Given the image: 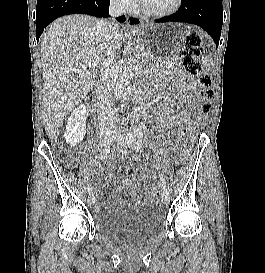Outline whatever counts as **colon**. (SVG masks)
I'll return each mask as SVG.
<instances>
[{"label":"colon","mask_w":265,"mask_h":273,"mask_svg":"<svg viewBox=\"0 0 265 273\" xmlns=\"http://www.w3.org/2000/svg\"><path fill=\"white\" fill-rule=\"evenodd\" d=\"M201 52V35L196 31L189 32L186 35L184 47L180 52V60L182 66L188 73L198 77V82L201 87V109L203 112L208 113L211 109V105L209 103V100L212 97V92L210 90L211 77L204 72L203 65L200 61ZM67 163L70 166H74L76 164V156L74 154L70 155L67 159ZM127 173L130 176H134L136 174V169L130 167L127 169ZM143 194L145 197H149L151 194L150 188H144Z\"/></svg>","instance_id":"5ec220e1"}]
</instances>
